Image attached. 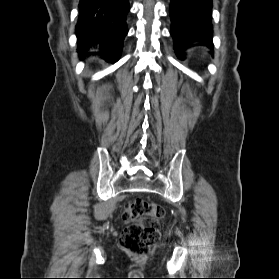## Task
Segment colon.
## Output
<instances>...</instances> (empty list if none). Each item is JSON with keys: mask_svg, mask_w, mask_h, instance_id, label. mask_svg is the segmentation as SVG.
<instances>
[{"mask_svg": "<svg viewBox=\"0 0 279 279\" xmlns=\"http://www.w3.org/2000/svg\"><path fill=\"white\" fill-rule=\"evenodd\" d=\"M164 215V208L158 203L143 199L128 202L123 214L127 226L120 246L137 257L149 255L160 239V220Z\"/></svg>", "mask_w": 279, "mask_h": 279, "instance_id": "obj_1", "label": "colon"}]
</instances>
